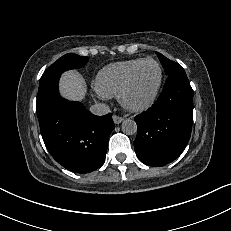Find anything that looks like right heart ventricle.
Listing matches in <instances>:
<instances>
[{
	"instance_id": "e07e8e85",
	"label": "right heart ventricle",
	"mask_w": 231,
	"mask_h": 231,
	"mask_svg": "<svg viewBox=\"0 0 231 231\" xmlns=\"http://www.w3.org/2000/svg\"><path fill=\"white\" fill-rule=\"evenodd\" d=\"M142 60L143 58L120 61L102 68L94 81L97 92L104 97L118 96L130 71Z\"/></svg>"
}]
</instances>
